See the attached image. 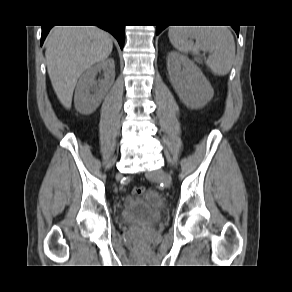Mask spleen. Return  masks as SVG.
Returning a JSON list of instances; mask_svg holds the SVG:
<instances>
[{
	"mask_svg": "<svg viewBox=\"0 0 292 292\" xmlns=\"http://www.w3.org/2000/svg\"><path fill=\"white\" fill-rule=\"evenodd\" d=\"M171 44L181 53L199 56L200 50L209 51L205 60L214 75L224 76L230 72L235 58V42L225 27H179L169 28ZM195 39L192 44L188 39Z\"/></svg>",
	"mask_w": 292,
	"mask_h": 292,
	"instance_id": "1",
	"label": "spleen"
}]
</instances>
